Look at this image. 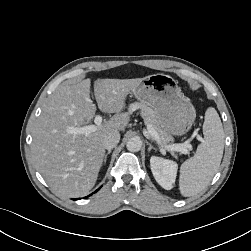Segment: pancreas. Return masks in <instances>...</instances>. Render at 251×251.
Here are the masks:
<instances>
[{"label": "pancreas", "mask_w": 251, "mask_h": 251, "mask_svg": "<svg viewBox=\"0 0 251 251\" xmlns=\"http://www.w3.org/2000/svg\"><path fill=\"white\" fill-rule=\"evenodd\" d=\"M137 109L141 110V115L144 117L145 124L151 125L153 129L158 133L161 146L166 147L168 145H172L170 143L174 141V138L160 126L155 111L151 107L142 103L130 104V112H133Z\"/></svg>", "instance_id": "1"}]
</instances>
